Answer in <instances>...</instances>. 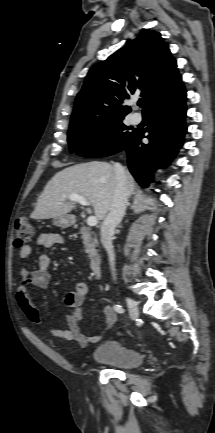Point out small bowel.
<instances>
[{"label": "small bowel", "mask_w": 215, "mask_h": 433, "mask_svg": "<svg viewBox=\"0 0 215 433\" xmlns=\"http://www.w3.org/2000/svg\"><path fill=\"white\" fill-rule=\"evenodd\" d=\"M64 242L61 234L56 232H42L38 235L36 244L43 248H51L60 245ZM31 247L25 245L20 248L19 255L21 258H27L31 254ZM51 265V256L49 254H42L38 259L37 268L31 270L22 268L20 271V283L16 291V300L19 308L22 310L26 318L35 325H42L43 320L29 294V286H36L45 288L49 285L51 275L49 267ZM88 293V284L84 281L78 282L75 289L68 292L64 297L65 304L70 307V311L65 315L67 329L51 328L50 332L53 336L67 340L74 341L81 347H86L89 343H97L103 336V331L95 335L85 334L81 327L80 322L83 319L81 305L83 304ZM103 315L107 327L112 326L116 319L117 314L111 306L103 307Z\"/></svg>", "instance_id": "c3829d8e"}]
</instances>
